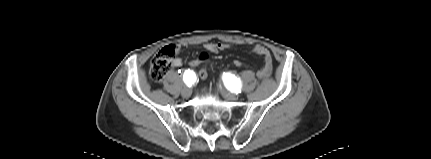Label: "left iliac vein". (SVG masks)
Masks as SVG:
<instances>
[{
    "label": "left iliac vein",
    "instance_id": "obj_1",
    "mask_svg": "<svg viewBox=\"0 0 431 159\" xmlns=\"http://www.w3.org/2000/svg\"><path fill=\"white\" fill-rule=\"evenodd\" d=\"M222 94L229 101L237 100V96L234 93H231V92L226 91V90H222Z\"/></svg>",
    "mask_w": 431,
    "mask_h": 159
}]
</instances>
